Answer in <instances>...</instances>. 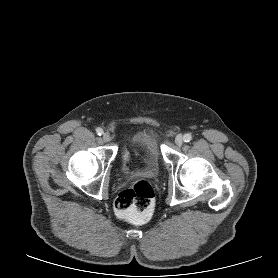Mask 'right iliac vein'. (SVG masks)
Returning <instances> with one entry per match:
<instances>
[{
	"label": "right iliac vein",
	"instance_id": "1",
	"mask_svg": "<svg viewBox=\"0 0 278 278\" xmlns=\"http://www.w3.org/2000/svg\"><path fill=\"white\" fill-rule=\"evenodd\" d=\"M102 138L105 142H109L111 140V137L108 133H103Z\"/></svg>",
	"mask_w": 278,
	"mask_h": 278
}]
</instances>
